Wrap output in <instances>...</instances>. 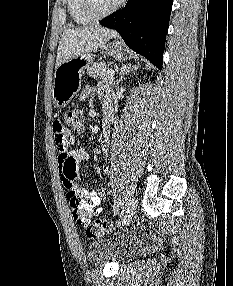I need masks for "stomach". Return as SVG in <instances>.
Wrapping results in <instances>:
<instances>
[{
  "label": "stomach",
  "instance_id": "1",
  "mask_svg": "<svg viewBox=\"0 0 233 286\" xmlns=\"http://www.w3.org/2000/svg\"><path fill=\"white\" fill-rule=\"evenodd\" d=\"M106 54L116 60H126L121 44L117 41L103 46ZM92 53H84L62 63L54 73L52 89L53 104L57 108H64L81 88V77L90 64L93 63Z\"/></svg>",
  "mask_w": 233,
  "mask_h": 286
}]
</instances>
